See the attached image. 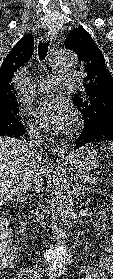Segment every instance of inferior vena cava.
I'll list each match as a JSON object with an SVG mask.
<instances>
[{
    "label": "inferior vena cava",
    "instance_id": "602c4592",
    "mask_svg": "<svg viewBox=\"0 0 113 279\" xmlns=\"http://www.w3.org/2000/svg\"><path fill=\"white\" fill-rule=\"evenodd\" d=\"M29 133V147L32 150L33 153L37 154V151L35 150L36 148H39L42 142V138L40 136V133L37 128L31 127L30 130L28 131ZM33 184H34V189L36 194L39 196L41 203L38 205V210L41 212V219L43 218V214L48 212V209H46L44 205V200H43V191H44V179L42 177V173L38 171L34 178H33ZM43 225V223H42Z\"/></svg>",
    "mask_w": 113,
    "mask_h": 279
}]
</instances>
